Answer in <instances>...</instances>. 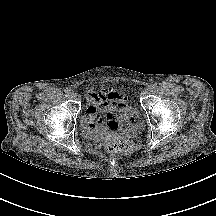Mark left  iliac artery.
Instances as JSON below:
<instances>
[{"instance_id": "left-iliac-artery-1", "label": "left iliac artery", "mask_w": 216, "mask_h": 216, "mask_svg": "<svg viewBox=\"0 0 216 216\" xmlns=\"http://www.w3.org/2000/svg\"><path fill=\"white\" fill-rule=\"evenodd\" d=\"M155 88H156V85H155V84L149 85V90H150V91H153Z\"/></svg>"}]
</instances>
